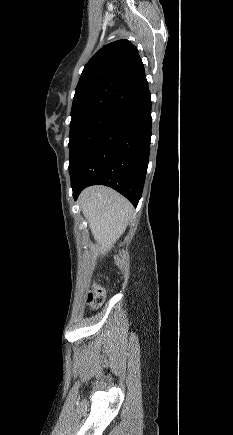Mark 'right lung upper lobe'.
Here are the masks:
<instances>
[{
  "mask_svg": "<svg viewBox=\"0 0 233 435\" xmlns=\"http://www.w3.org/2000/svg\"><path fill=\"white\" fill-rule=\"evenodd\" d=\"M149 92L137 48L118 40L101 48L85 65L76 87L71 116L97 110L124 114Z\"/></svg>",
  "mask_w": 233,
  "mask_h": 435,
  "instance_id": "cb5924a9",
  "label": "right lung upper lobe"
}]
</instances>
